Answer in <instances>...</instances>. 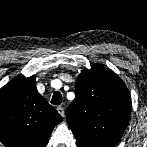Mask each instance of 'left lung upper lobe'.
<instances>
[{
  "label": "left lung upper lobe",
  "instance_id": "5c2ea615",
  "mask_svg": "<svg viewBox=\"0 0 147 147\" xmlns=\"http://www.w3.org/2000/svg\"><path fill=\"white\" fill-rule=\"evenodd\" d=\"M75 92L66 118L77 147H114L131 112V97L125 83L112 71L94 64L78 76Z\"/></svg>",
  "mask_w": 147,
  "mask_h": 147
}]
</instances>
